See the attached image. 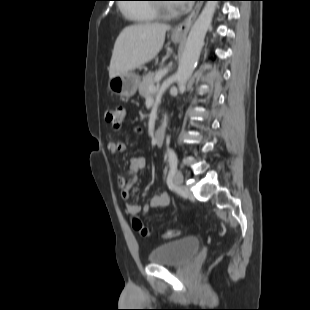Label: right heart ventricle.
Instances as JSON below:
<instances>
[{"mask_svg": "<svg viewBox=\"0 0 310 310\" xmlns=\"http://www.w3.org/2000/svg\"><path fill=\"white\" fill-rule=\"evenodd\" d=\"M124 14L138 23H149L157 19L158 13L155 5L126 6Z\"/></svg>", "mask_w": 310, "mask_h": 310, "instance_id": "obj_1", "label": "right heart ventricle"}]
</instances>
